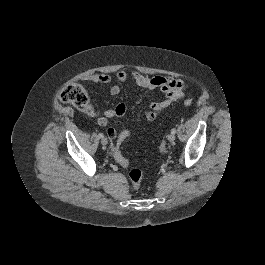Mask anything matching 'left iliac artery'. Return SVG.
<instances>
[{
	"label": "left iliac artery",
	"instance_id": "44dca946",
	"mask_svg": "<svg viewBox=\"0 0 265 265\" xmlns=\"http://www.w3.org/2000/svg\"><path fill=\"white\" fill-rule=\"evenodd\" d=\"M171 133L175 134V133H176V129L173 128V129L171 130Z\"/></svg>",
	"mask_w": 265,
	"mask_h": 265
}]
</instances>
